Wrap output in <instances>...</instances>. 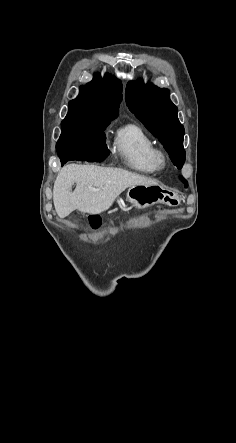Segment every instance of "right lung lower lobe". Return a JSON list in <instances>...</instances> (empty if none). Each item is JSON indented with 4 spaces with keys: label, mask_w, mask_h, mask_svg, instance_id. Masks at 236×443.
<instances>
[{
    "label": "right lung lower lobe",
    "mask_w": 236,
    "mask_h": 443,
    "mask_svg": "<svg viewBox=\"0 0 236 443\" xmlns=\"http://www.w3.org/2000/svg\"><path fill=\"white\" fill-rule=\"evenodd\" d=\"M57 153L61 164L64 165L71 160L101 162L109 155V150L106 146L80 145L64 147Z\"/></svg>",
    "instance_id": "obj_1"
}]
</instances>
